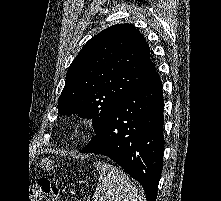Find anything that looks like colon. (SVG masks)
Here are the masks:
<instances>
[{"mask_svg":"<svg viewBox=\"0 0 221 201\" xmlns=\"http://www.w3.org/2000/svg\"><path fill=\"white\" fill-rule=\"evenodd\" d=\"M28 201H59V189L49 179L40 178L29 190Z\"/></svg>","mask_w":221,"mask_h":201,"instance_id":"1","label":"colon"}]
</instances>
